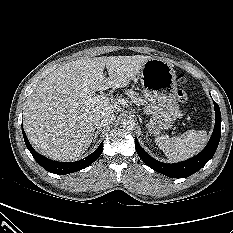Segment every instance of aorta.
Masks as SVG:
<instances>
[{
    "instance_id": "obj_1",
    "label": "aorta",
    "mask_w": 233,
    "mask_h": 233,
    "mask_svg": "<svg viewBox=\"0 0 233 233\" xmlns=\"http://www.w3.org/2000/svg\"><path fill=\"white\" fill-rule=\"evenodd\" d=\"M120 126L121 128L126 129V130H134L136 126V122L131 117H125L121 119Z\"/></svg>"
}]
</instances>
